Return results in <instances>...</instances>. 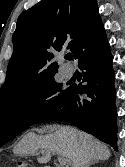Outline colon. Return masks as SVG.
Instances as JSON below:
<instances>
[{"mask_svg": "<svg viewBox=\"0 0 125 167\" xmlns=\"http://www.w3.org/2000/svg\"><path fill=\"white\" fill-rule=\"evenodd\" d=\"M17 167H34L33 163L27 160H20L17 163Z\"/></svg>", "mask_w": 125, "mask_h": 167, "instance_id": "obj_1", "label": "colon"}]
</instances>
